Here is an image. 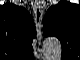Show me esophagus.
Masks as SVG:
<instances>
[{"label": "esophagus", "instance_id": "obj_1", "mask_svg": "<svg viewBox=\"0 0 80 60\" xmlns=\"http://www.w3.org/2000/svg\"><path fill=\"white\" fill-rule=\"evenodd\" d=\"M33 10H34V19L36 24L37 38L41 40V28H42V6L38 1L32 2Z\"/></svg>", "mask_w": 80, "mask_h": 60}]
</instances>
